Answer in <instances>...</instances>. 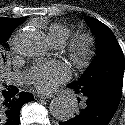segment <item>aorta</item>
Returning <instances> with one entry per match:
<instances>
[{
  "instance_id": "1",
  "label": "aorta",
  "mask_w": 125,
  "mask_h": 125,
  "mask_svg": "<svg viewBox=\"0 0 125 125\" xmlns=\"http://www.w3.org/2000/svg\"><path fill=\"white\" fill-rule=\"evenodd\" d=\"M48 49V39L40 31H30L21 37L20 52L25 56L32 58L42 57L47 53ZM49 110L54 118L66 121L74 116L76 106L73 100L63 96L53 99Z\"/></svg>"
}]
</instances>
